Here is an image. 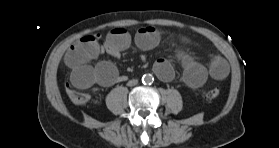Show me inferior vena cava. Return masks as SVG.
Here are the masks:
<instances>
[{"instance_id":"inferior-vena-cava-1","label":"inferior vena cava","mask_w":279,"mask_h":148,"mask_svg":"<svg viewBox=\"0 0 279 148\" xmlns=\"http://www.w3.org/2000/svg\"><path fill=\"white\" fill-rule=\"evenodd\" d=\"M137 83H138V80L133 79V80L128 81L127 85L128 86H135V85H137Z\"/></svg>"}]
</instances>
